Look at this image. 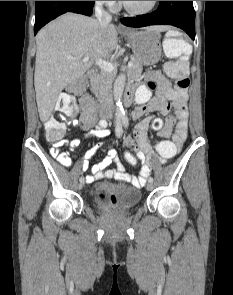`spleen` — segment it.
<instances>
[{
    "label": "spleen",
    "instance_id": "spleen-1",
    "mask_svg": "<svg viewBox=\"0 0 233 295\" xmlns=\"http://www.w3.org/2000/svg\"><path fill=\"white\" fill-rule=\"evenodd\" d=\"M163 50L170 58L181 57L186 60L192 52V47L181 38H173L169 33L163 42Z\"/></svg>",
    "mask_w": 233,
    "mask_h": 295
}]
</instances>
